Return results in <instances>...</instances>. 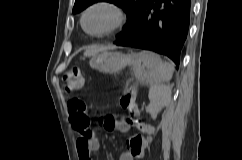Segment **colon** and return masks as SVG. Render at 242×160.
<instances>
[{"label": "colon", "mask_w": 242, "mask_h": 160, "mask_svg": "<svg viewBox=\"0 0 242 160\" xmlns=\"http://www.w3.org/2000/svg\"><path fill=\"white\" fill-rule=\"evenodd\" d=\"M83 85V79L79 68L73 67L68 69L63 75V89L65 93L72 94L80 89ZM121 106L129 112V116L124 118L125 121L133 122L136 116L135 89L127 86L120 98ZM68 109L72 114V119L76 127L88 128L90 119L85 112V106L79 99H72L68 104ZM90 132L86 133L89 136Z\"/></svg>", "instance_id": "1"}]
</instances>
